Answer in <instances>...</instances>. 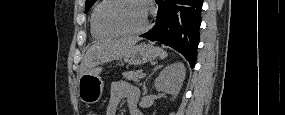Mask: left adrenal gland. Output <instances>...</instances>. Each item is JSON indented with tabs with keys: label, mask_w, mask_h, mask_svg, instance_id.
Returning a JSON list of instances; mask_svg holds the SVG:
<instances>
[{
	"label": "left adrenal gland",
	"mask_w": 285,
	"mask_h": 115,
	"mask_svg": "<svg viewBox=\"0 0 285 115\" xmlns=\"http://www.w3.org/2000/svg\"><path fill=\"white\" fill-rule=\"evenodd\" d=\"M159 68H161V65H156L153 70H152V73L146 78L145 82L143 83V95H145L147 93V87H146V82L147 80L150 78V76L156 71L158 70Z\"/></svg>",
	"instance_id": "left-adrenal-gland-1"
}]
</instances>
